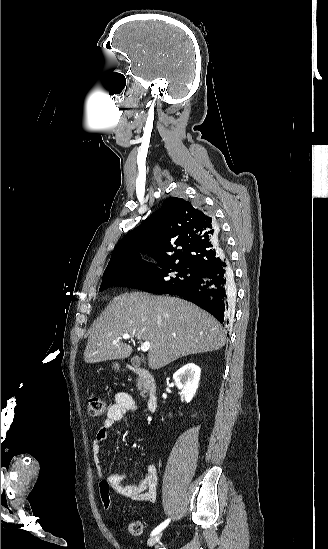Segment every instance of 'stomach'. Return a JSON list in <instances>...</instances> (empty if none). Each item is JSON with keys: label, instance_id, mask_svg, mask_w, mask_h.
Wrapping results in <instances>:
<instances>
[{"label": "stomach", "instance_id": "stomach-1", "mask_svg": "<svg viewBox=\"0 0 328 549\" xmlns=\"http://www.w3.org/2000/svg\"><path fill=\"white\" fill-rule=\"evenodd\" d=\"M112 367H113L114 371H119V369H120L119 363H113Z\"/></svg>", "mask_w": 328, "mask_h": 549}]
</instances>
